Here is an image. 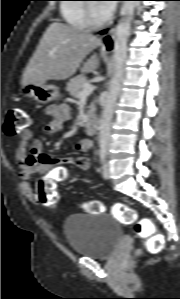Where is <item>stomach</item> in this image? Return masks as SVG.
<instances>
[{"instance_id":"0dacf381","label":"stomach","mask_w":180,"mask_h":299,"mask_svg":"<svg viewBox=\"0 0 180 299\" xmlns=\"http://www.w3.org/2000/svg\"><path fill=\"white\" fill-rule=\"evenodd\" d=\"M20 94L26 98H33L39 104H47L56 99L58 89L46 81L29 82L20 87Z\"/></svg>"}]
</instances>
